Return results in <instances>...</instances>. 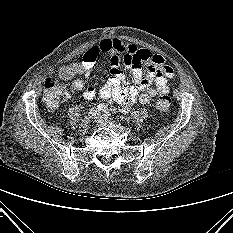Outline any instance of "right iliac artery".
<instances>
[{
  "mask_svg": "<svg viewBox=\"0 0 233 233\" xmlns=\"http://www.w3.org/2000/svg\"><path fill=\"white\" fill-rule=\"evenodd\" d=\"M107 109V105H105V104H99V105H97L96 107H95V110L96 111H105Z\"/></svg>",
  "mask_w": 233,
  "mask_h": 233,
  "instance_id": "right-iliac-artery-1",
  "label": "right iliac artery"
}]
</instances>
